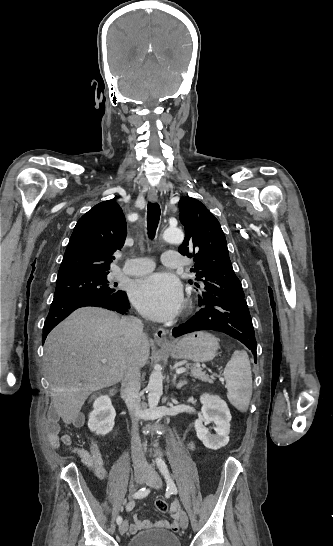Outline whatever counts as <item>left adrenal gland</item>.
I'll return each instance as SVG.
<instances>
[{"label": "left adrenal gland", "mask_w": 333, "mask_h": 546, "mask_svg": "<svg viewBox=\"0 0 333 546\" xmlns=\"http://www.w3.org/2000/svg\"><path fill=\"white\" fill-rule=\"evenodd\" d=\"M176 378H177V376H176V374H175V375L173 376V380H172L174 385H176ZM186 384H187V382H186L185 380H184V381L180 380L179 383L176 385V387H177L178 389H181V388H182L184 385H186Z\"/></svg>", "instance_id": "1"}]
</instances>
